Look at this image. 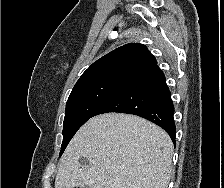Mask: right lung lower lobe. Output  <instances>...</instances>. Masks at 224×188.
Returning <instances> with one entry per match:
<instances>
[{"label": "right lung lower lobe", "instance_id": "obj_1", "mask_svg": "<svg viewBox=\"0 0 224 188\" xmlns=\"http://www.w3.org/2000/svg\"><path fill=\"white\" fill-rule=\"evenodd\" d=\"M118 112L143 117L162 127L175 144L174 105L165 76L157 64L136 78L101 106L94 116Z\"/></svg>", "mask_w": 224, "mask_h": 188}]
</instances>
